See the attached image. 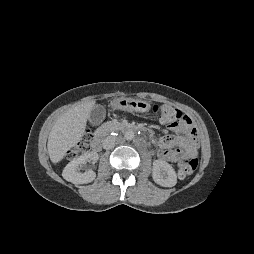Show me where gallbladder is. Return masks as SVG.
<instances>
[{"label": "gallbladder", "instance_id": "gallbladder-1", "mask_svg": "<svg viewBox=\"0 0 254 254\" xmlns=\"http://www.w3.org/2000/svg\"><path fill=\"white\" fill-rule=\"evenodd\" d=\"M106 115L105 108L102 105H95L88 116V120L92 125L102 123Z\"/></svg>", "mask_w": 254, "mask_h": 254}]
</instances>
